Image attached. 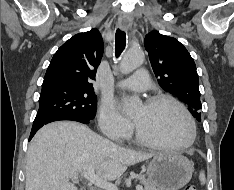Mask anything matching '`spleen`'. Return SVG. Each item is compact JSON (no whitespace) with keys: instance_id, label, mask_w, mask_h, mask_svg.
Returning <instances> with one entry per match:
<instances>
[{"instance_id":"spleen-1","label":"spleen","mask_w":234,"mask_h":190,"mask_svg":"<svg viewBox=\"0 0 234 190\" xmlns=\"http://www.w3.org/2000/svg\"><path fill=\"white\" fill-rule=\"evenodd\" d=\"M199 180H200V182H201V185H204V184H205L206 179H205V174H204L203 171L200 172Z\"/></svg>"}]
</instances>
